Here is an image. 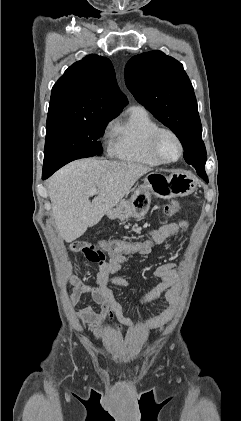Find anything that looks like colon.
<instances>
[{
	"mask_svg": "<svg viewBox=\"0 0 241 421\" xmlns=\"http://www.w3.org/2000/svg\"><path fill=\"white\" fill-rule=\"evenodd\" d=\"M177 211L178 203L171 202L165 206L164 215L166 218H171ZM156 244L154 241L149 240L127 241L116 239L97 243L78 241L73 243L70 249L74 252L83 253L89 261L100 265L105 263L106 255H144L151 252Z\"/></svg>",
	"mask_w": 241,
	"mask_h": 421,
	"instance_id": "1",
	"label": "colon"
}]
</instances>
